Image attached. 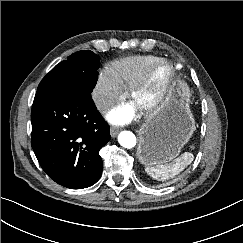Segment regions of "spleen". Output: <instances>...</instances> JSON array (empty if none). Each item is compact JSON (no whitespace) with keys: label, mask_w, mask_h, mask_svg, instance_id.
Wrapping results in <instances>:
<instances>
[{"label":"spleen","mask_w":243,"mask_h":243,"mask_svg":"<svg viewBox=\"0 0 243 243\" xmlns=\"http://www.w3.org/2000/svg\"><path fill=\"white\" fill-rule=\"evenodd\" d=\"M193 159L194 156L192 153L185 152L178 158L174 159L171 163L147 166L145 171L156 180H167L183 171L193 161Z\"/></svg>","instance_id":"1"}]
</instances>
